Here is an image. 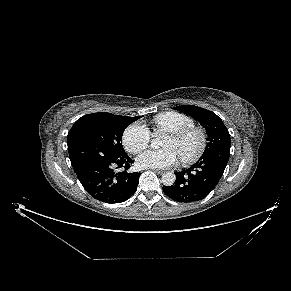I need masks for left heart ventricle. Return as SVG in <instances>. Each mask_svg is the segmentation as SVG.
<instances>
[{
    "label": "left heart ventricle",
    "instance_id": "b2bd125f",
    "mask_svg": "<svg viewBox=\"0 0 291 291\" xmlns=\"http://www.w3.org/2000/svg\"><path fill=\"white\" fill-rule=\"evenodd\" d=\"M198 138L195 135L189 136L184 140H177L168 135L163 142L165 148H174L179 157L190 155L197 147Z\"/></svg>",
    "mask_w": 291,
    "mask_h": 291
}]
</instances>
